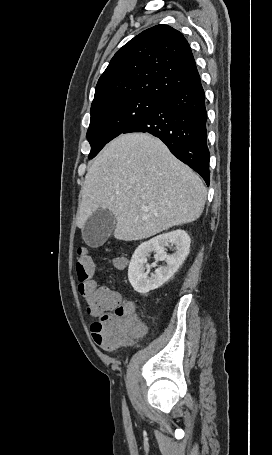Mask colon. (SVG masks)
Returning <instances> with one entry per match:
<instances>
[{"mask_svg": "<svg viewBox=\"0 0 272 455\" xmlns=\"http://www.w3.org/2000/svg\"><path fill=\"white\" fill-rule=\"evenodd\" d=\"M116 264L121 266L123 262L117 260ZM76 272L78 294L88 312L97 316L91 325V335L99 347L112 350L125 339L144 333L145 327L135 315L134 306L122 302L118 293L93 280L96 261L86 250L78 251Z\"/></svg>", "mask_w": 272, "mask_h": 455, "instance_id": "1", "label": "colon"}]
</instances>
